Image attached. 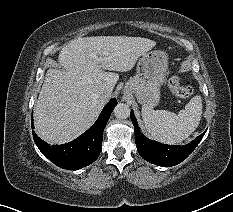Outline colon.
Masks as SVG:
<instances>
[{"mask_svg": "<svg viewBox=\"0 0 233 212\" xmlns=\"http://www.w3.org/2000/svg\"><path fill=\"white\" fill-rule=\"evenodd\" d=\"M168 85L172 93L177 97L188 98L193 94L191 87L181 85L179 76H172L169 79Z\"/></svg>", "mask_w": 233, "mask_h": 212, "instance_id": "obj_1", "label": "colon"}]
</instances>
